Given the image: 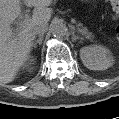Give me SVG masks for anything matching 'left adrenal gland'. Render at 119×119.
<instances>
[{"label": "left adrenal gland", "instance_id": "a2214340", "mask_svg": "<svg viewBox=\"0 0 119 119\" xmlns=\"http://www.w3.org/2000/svg\"><path fill=\"white\" fill-rule=\"evenodd\" d=\"M72 34H73V35H72L73 41H75L76 39L83 40L82 37L76 36L74 32H73Z\"/></svg>", "mask_w": 119, "mask_h": 119}]
</instances>
